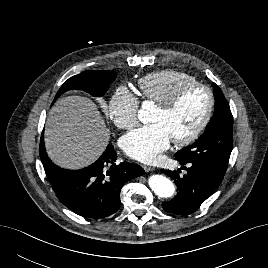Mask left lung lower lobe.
<instances>
[{"label": "left lung lower lobe", "instance_id": "left-lung-lower-lobe-1", "mask_svg": "<svg viewBox=\"0 0 268 268\" xmlns=\"http://www.w3.org/2000/svg\"><path fill=\"white\" fill-rule=\"evenodd\" d=\"M185 165L183 163H180ZM187 174L180 177L176 171L161 170L174 180L178 193L170 201L162 203L164 210L179 215H188L197 211L220 185L225 173L200 163H189Z\"/></svg>", "mask_w": 268, "mask_h": 268}]
</instances>
